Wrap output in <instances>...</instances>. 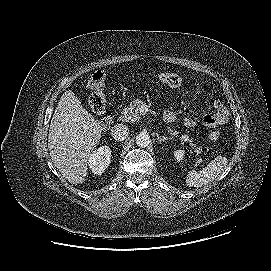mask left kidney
Returning <instances> with one entry per match:
<instances>
[{
	"instance_id": "1",
	"label": "left kidney",
	"mask_w": 271,
	"mask_h": 271,
	"mask_svg": "<svg viewBox=\"0 0 271 271\" xmlns=\"http://www.w3.org/2000/svg\"><path fill=\"white\" fill-rule=\"evenodd\" d=\"M174 156L177 159V161L180 162L184 159L185 151L181 150V149L176 150V151H174Z\"/></svg>"
}]
</instances>
